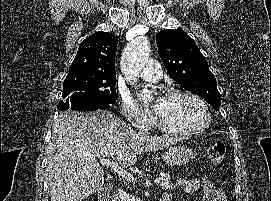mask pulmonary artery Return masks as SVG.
<instances>
[{"instance_id": "e3ab8cb5", "label": "pulmonary artery", "mask_w": 271, "mask_h": 201, "mask_svg": "<svg viewBox=\"0 0 271 201\" xmlns=\"http://www.w3.org/2000/svg\"><path fill=\"white\" fill-rule=\"evenodd\" d=\"M140 76L145 81L158 82L163 76V72L160 64L156 60H149L146 63L144 70L140 73Z\"/></svg>"}]
</instances>
